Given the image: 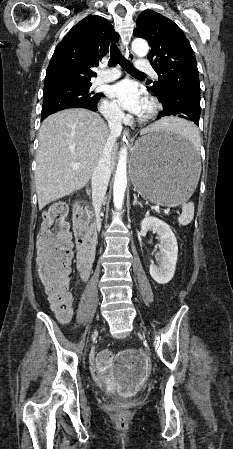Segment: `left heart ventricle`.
Here are the masks:
<instances>
[{
	"label": "left heart ventricle",
	"instance_id": "obj_1",
	"mask_svg": "<svg viewBox=\"0 0 233 449\" xmlns=\"http://www.w3.org/2000/svg\"><path fill=\"white\" fill-rule=\"evenodd\" d=\"M146 110H147V103H146V105H145V107H144L142 113H144Z\"/></svg>",
	"mask_w": 233,
	"mask_h": 449
}]
</instances>
